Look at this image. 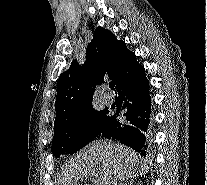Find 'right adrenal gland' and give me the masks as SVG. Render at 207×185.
<instances>
[{
	"label": "right adrenal gland",
	"instance_id": "right-adrenal-gland-1",
	"mask_svg": "<svg viewBox=\"0 0 207 185\" xmlns=\"http://www.w3.org/2000/svg\"><path fill=\"white\" fill-rule=\"evenodd\" d=\"M120 185H135L134 179H123Z\"/></svg>",
	"mask_w": 207,
	"mask_h": 185
}]
</instances>
